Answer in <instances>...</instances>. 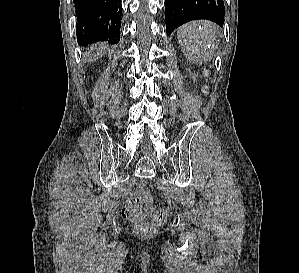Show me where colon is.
Here are the masks:
<instances>
[{
  "instance_id": "1",
  "label": "colon",
  "mask_w": 299,
  "mask_h": 273,
  "mask_svg": "<svg viewBox=\"0 0 299 273\" xmlns=\"http://www.w3.org/2000/svg\"><path fill=\"white\" fill-rule=\"evenodd\" d=\"M145 209V204L139 196L131 197L122 210V216L134 221ZM148 216L152 217L156 222H163L166 219L165 211L159 207H150L146 210ZM136 230L140 233H151L155 230V225L147 221H139L135 225Z\"/></svg>"
}]
</instances>
